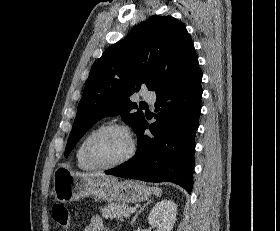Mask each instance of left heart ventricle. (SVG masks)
Listing matches in <instances>:
<instances>
[{"mask_svg":"<svg viewBox=\"0 0 280 231\" xmlns=\"http://www.w3.org/2000/svg\"><path fill=\"white\" fill-rule=\"evenodd\" d=\"M128 148L126 136L117 130L102 134L91 147L93 160L100 164H109L120 159Z\"/></svg>","mask_w":280,"mask_h":231,"instance_id":"left-heart-ventricle-1","label":"left heart ventricle"}]
</instances>
